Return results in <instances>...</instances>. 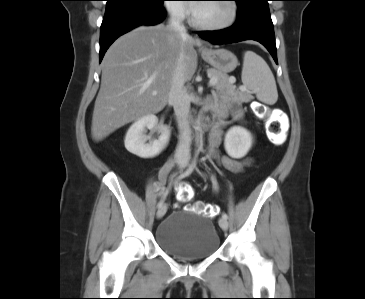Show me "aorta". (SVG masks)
Wrapping results in <instances>:
<instances>
[{"instance_id": "obj_1", "label": "aorta", "mask_w": 365, "mask_h": 299, "mask_svg": "<svg viewBox=\"0 0 365 299\" xmlns=\"http://www.w3.org/2000/svg\"><path fill=\"white\" fill-rule=\"evenodd\" d=\"M199 130H200L199 126H195V131H199ZM196 140L199 141V135L198 134L196 136Z\"/></svg>"}]
</instances>
